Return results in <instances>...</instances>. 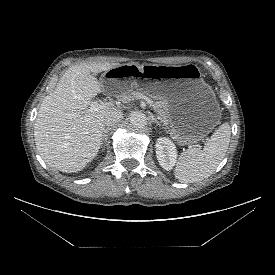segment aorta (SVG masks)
Masks as SVG:
<instances>
[{
    "mask_svg": "<svg viewBox=\"0 0 275 275\" xmlns=\"http://www.w3.org/2000/svg\"><path fill=\"white\" fill-rule=\"evenodd\" d=\"M130 123L135 128H144L147 125V117L140 111L132 112L130 115Z\"/></svg>",
    "mask_w": 275,
    "mask_h": 275,
    "instance_id": "1",
    "label": "aorta"
}]
</instances>
